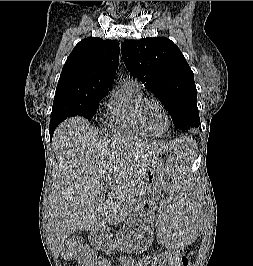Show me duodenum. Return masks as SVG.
Segmentation results:
<instances>
[{"instance_id": "obj_1", "label": "duodenum", "mask_w": 253, "mask_h": 266, "mask_svg": "<svg viewBox=\"0 0 253 266\" xmlns=\"http://www.w3.org/2000/svg\"><path fill=\"white\" fill-rule=\"evenodd\" d=\"M105 241H106V236L103 232H98V233L92 235V242L93 243L105 242Z\"/></svg>"}]
</instances>
